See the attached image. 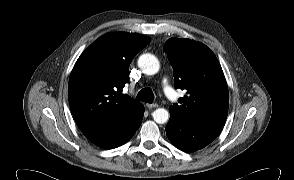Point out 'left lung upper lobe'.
<instances>
[{
    "instance_id": "obj_1",
    "label": "left lung upper lobe",
    "mask_w": 294,
    "mask_h": 180,
    "mask_svg": "<svg viewBox=\"0 0 294 180\" xmlns=\"http://www.w3.org/2000/svg\"><path fill=\"white\" fill-rule=\"evenodd\" d=\"M163 49L174 69L175 87L186 91L169 111L193 122H225L229 93L214 53L200 42L179 38L167 40Z\"/></svg>"
}]
</instances>
